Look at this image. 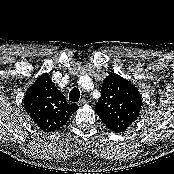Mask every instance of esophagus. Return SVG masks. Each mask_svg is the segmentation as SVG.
<instances>
[{"mask_svg":"<svg viewBox=\"0 0 174 174\" xmlns=\"http://www.w3.org/2000/svg\"><path fill=\"white\" fill-rule=\"evenodd\" d=\"M87 103L86 99L85 98H82L80 101H79V105L82 106V105H85Z\"/></svg>","mask_w":174,"mask_h":174,"instance_id":"esophagus-1","label":"esophagus"}]
</instances>
